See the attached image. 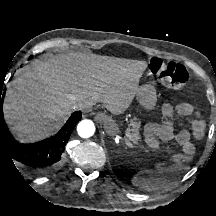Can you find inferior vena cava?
<instances>
[{
  "instance_id": "602c4592",
  "label": "inferior vena cava",
  "mask_w": 216,
  "mask_h": 216,
  "mask_svg": "<svg viewBox=\"0 0 216 216\" xmlns=\"http://www.w3.org/2000/svg\"><path fill=\"white\" fill-rule=\"evenodd\" d=\"M91 106H92L91 101L86 98L78 99L73 105L74 109L81 110V111L89 110Z\"/></svg>"
}]
</instances>
